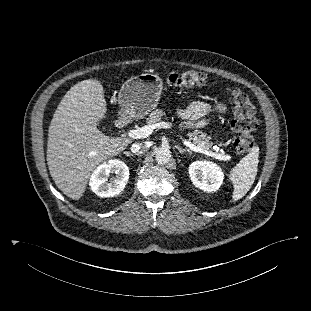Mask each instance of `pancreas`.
Wrapping results in <instances>:
<instances>
[{"instance_id": "1", "label": "pancreas", "mask_w": 311, "mask_h": 311, "mask_svg": "<svg viewBox=\"0 0 311 311\" xmlns=\"http://www.w3.org/2000/svg\"><path fill=\"white\" fill-rule=\"evenodd\" d=\"M166 116V113L162 110H154L151 112L149 117L146 119L148 124H155L159 122L163 117ZM189 141H192L194 144L201 148L211 147V143L209 142V137H207L206 133H203L200 130H195L193 132L188 133Z\"/></svg>"}]
</instances>
